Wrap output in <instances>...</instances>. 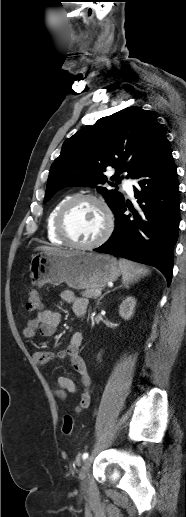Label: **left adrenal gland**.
<instances>
[{
  "instance_id": "obj_1",
  "label": "left adrenal gland",
  "mask_w": 186,
  "mask_h": 517,
  "mask_svg": "<svg viewBox=\"0 0 186 517\" xmlns=\"http://www.w3.org/2000/svg\"><path fill=\"white\" fill-rule=\"evenodd\" d=\"M120 287H122V286H120ZM120 287H116V288H114V289H113V291H114V290H116V289H118V288H120ZM108 293H110V291H108V292L104 293V294H103V295L98 299V301H97V305H99V304H100V300H101V299H103V297H104L106 294H108Z\"/></svg>"
}]
</instances>
